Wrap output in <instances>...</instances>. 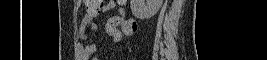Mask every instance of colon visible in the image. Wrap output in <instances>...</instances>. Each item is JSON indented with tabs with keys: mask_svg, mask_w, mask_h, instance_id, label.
<instances>
[{
	"mask_svg": "<svg viewBox=\"0 0 267 60\" xmlns=\"http://www.w3.org/2000/svg\"><path fill=\"white\" fill-rule=\"evenodd\" d=\"M123 3L124 1H119ZM86 7V15L87 16H99L104 11V0H86L84 1ZM131 29L136 28V23H132L129 25Z\"/></svg>",
	"mask_w": 267,
	"mask_h": 60,
	"instance_id": "5ec220e1",
	"label": "colon"
}]
</instances>
